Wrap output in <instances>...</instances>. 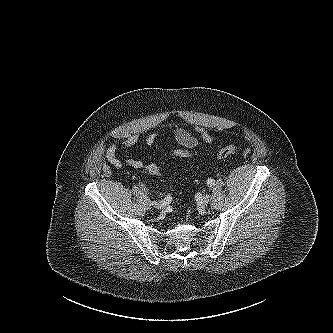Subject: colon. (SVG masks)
Returning a JSON list of instances; mask_svg holds the SVG:
<instances>
[{"mask_svg": "<svg viewBox=\"0 0 333 333\" xmlns=\"http://www.w3.org/2000/svg\"><path fill=\"white\" fill-rule=\"evenodd\" d=\"M237 152V147L233 144L227 145L225 147H223L222 149H220L217 153H216V157L219 159L222 158H226L229 157L233 154H235ZM175 156L180 157V158H187V157H191L194 154L189 151V150H185V149H178L174 152ZM146 171L153 176H158L161 174V170L160 168L155 165V164H149L146 166Z\"/></svg>", "mask_w": 333, "mask_h": 333, "instance_id": "colon-1", "label": "colon"}]
</instances>
